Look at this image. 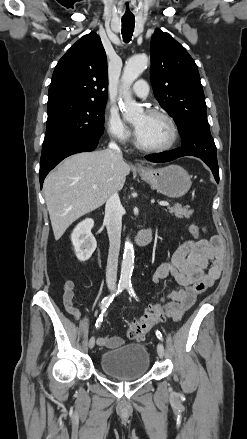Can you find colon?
Wrapping results in <instances>:
<instances>
[{
  "label": "colon",
  "mask_w": 247,
  "mask_h": 439,
  "mask_svg": "<svg viewBox=\"0 0 247 439\" xmlns=\"http://www.w3.org/2000/svg\"><path fill=\"white\" fill-rule=\"evenodd\" d=\"M189 231L193 237L199 238L201 230L197 225L191 224ZM166 310V300L151 306L140 318L131 323L127 332L128 338L142 339L155 324L165 319Z\"/></svg>",
  "instance_id": "1"
}]
</instances>
